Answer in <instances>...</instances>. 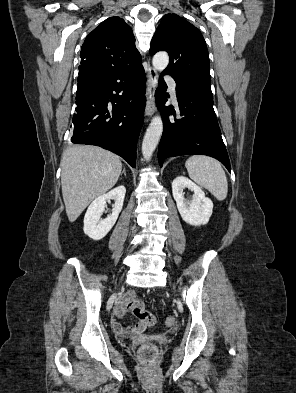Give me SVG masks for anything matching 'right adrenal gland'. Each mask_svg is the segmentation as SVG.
<instances>
[{"mask_svg": "<svg viewBox=\"0 0 296 393\" xmlns=\"http://www.w3.org/2000/svg\"><path fill=\"white\" fill-rule=\"evenodd\" d=\"M122 174H124V176H126L125 168L123 169Z\"/></svg>", "mask_w": 296, "mask_h": 393, "instance_id": "1", "label": "right adrenal gland"}]
</instances>
